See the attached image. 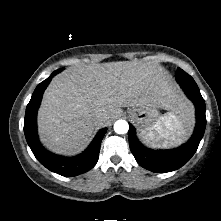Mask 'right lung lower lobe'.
<instances>
[{
	"label": "right lung lower lobe",
	"instance_id": "obj_1",
	"mask_svg": "<svg viewBox=\"0 0 221 221\" xmlns=\"http://www.w3.org/2000/svg\"><path fill=\"white\" fill-rule=\"evenodd\" d=\"M54 75L53 72L36 87L26 108L24 134L34 156L43 166L59 175L71 177L87 172L95 166L99 158L100 145L106 129H101L88 149L76 157L65 158L43 148L37 135L36 116L43 92Z\"/></svg>",
	"mask_w": 221,
	"mask_h": 221
}]
</instances>
